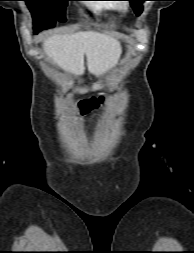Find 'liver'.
I'll return each instance as SVG.
<instances>
[{
	"instance_id": "6515ba94",
	"label": "liver",
	"mask_w": 194,
	"mask_h": 253,
	"mask_svg": "<svg viewBox=\"0 0 194 253\" xmlns=\"http://www.w3.org/2000/svg\"><path fill=\"white\" fill-rule=\"evenodd\" d=\"M43 46L57 66L75 75L84 74L85 55L89 72L100 76L118 63L122 52L119 41L95 31L53 35Z\"/></svg>"
}]
</instances>
